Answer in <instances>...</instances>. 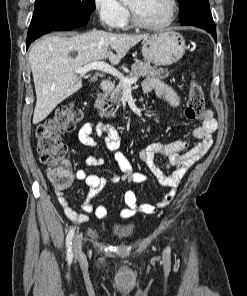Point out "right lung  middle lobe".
<instances>
[{
  "mask_svg": "<svg viewBox=\"0 0 247 296\" xmlns=\"http://www.w3.org/2000/svg\"><path fill=\"white\" fill-rule=\"evenodd\" d=\"M95 9V0H35L31 22L57 13L69 18H81Z\"/></svg>",
  "mask_w": 247,
  "mask_h": 296,
  "instance_id": "right-lung-middle-lobe-1",
  "label": "right lung middle lobe"
}]
</instances>
